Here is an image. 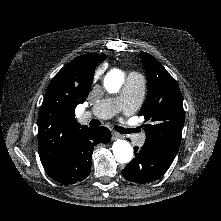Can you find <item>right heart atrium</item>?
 Masks as SVG:
<instances>
[{
	"mask_svg": "<svg viewBox=\"0 0 221 221\" xmlns=\"http://www.w3.org/2000/svg\"><path fill=\"white\" fill-rule=\"evenodd\" d=\"M100 76V73L97 71L95 74V79H97Z\"/></svg>",
	"mask_w": 221,
	"mask_h": 221,
	"instance_id": "obj_1",
	"label": "right heart atrium"
}]
</instances>
